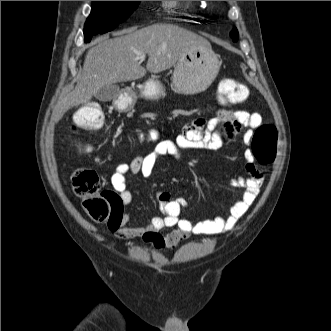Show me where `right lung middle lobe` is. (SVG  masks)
<instances>
[{
	"label": "right lung middle lobe",
	"mask_w": 331,
	"mask_h": 331,
	"mask_svg": "<svg viewBox=\"0 0 331 331\" xmlns=\"http://www.w3.org/2000/svg\"><path fill=\"white\" fill-rule=\"evenodd\" d=\"M140 1H93L90 16L84 26L85 42L93 35L106 33L126 20Z\"/></svg>",
	"instance_id": "dd1d6c3e"
}]
</instances>
